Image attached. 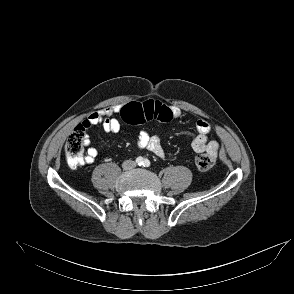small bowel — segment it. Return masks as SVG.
Instances as JSON below:
<instances>
[{"label": "small bowel", "instance_id": "c3829d8e", "mask_svg": "<svg viewBox=\"0 0 294 294\" xmlns=\"http://www.w3.org/2000/svg\"><path fill=\"white\" fill-rule=\"evenodd\" d=\"M122 107V105H115L93 112L82 122L81 126L84 130L93 126H102L108 133H117L121 127L117 116L120 115ZM170 109L173 118H179L182 115V111L179 107L173 105ZM196 130L197 135L192 141L193 150L197 153L206 152L216 156L218 143L215 140H210L208 137L211 131L210 124L205 120H198L196 123ZM85 144L89 147L84 161L86 164H91L97 157L98 151L95 147L90 146V139L87 135H85ZM137 146L140 149L152 152L160 158L165 156L161 139L158 136L150 135L146 130L140 131L137 139Z\"/></svg>", "mask_w": 294, "mask_h": 294}]
</instances>
